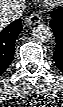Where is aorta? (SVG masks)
<instances>
[{
	"label": "aorta",
	"instance_id": "762f6f07",
	"mask_svg": "<svg viewBox=\"0 0 63 107\" xmlns=\"http://www.w3.org/2000/svg\"><path fill=\"white\" fill-rule=\"evenodd\" d=\"M32 36L37 42L46 43L51 40L53 33L50 27L40 24L33 28Z\"/></svg>",
	"mask_w": 63,
	"mask_h": 107
}]
</instances>
